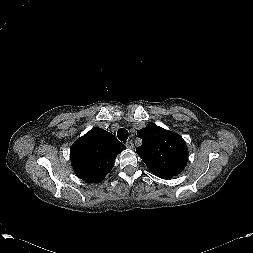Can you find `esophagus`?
I'll return each instance as SVG.
<instances>
[{
    "mask_svg": "<svg viewBox=\"0 0 253 253\" xmlns=\"http://www.w3.org/2000/svg\"><path fill=\"white\" fill-rule=\"evenodd\" d=\"M126 147H127L128 149H133V148H134L133 142H132V141H127V142H126Z\"/></svg>",
    "mask_w": 253,
    "mask_h": 253,
    "instance_id": "esophagus-1",
    "label": "esophagus"
}]
</instances>
